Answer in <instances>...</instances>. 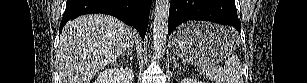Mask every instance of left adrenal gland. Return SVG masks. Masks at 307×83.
I'll list each match as a JSON object with an SVG mask.
<instances>
[{
  "instance_id": "1",
  "label": "left adrenal gland",
  "mask_w": 307,
  "mask_h": 83,
  "mask_svg": "<svg viewBox=\"0 0 307 83\" xmlns=\"http://www.w3.org/2000/svg\"><path fill=\"white\" fill-rule=\"evenodd\" d=\"M173 66H174V67H173V70H176V69L178 68V69H180V70L185 71L184 68H182L181 66H179V64H177L175 57H173Z\"/></svg>"
}]
</instances>
